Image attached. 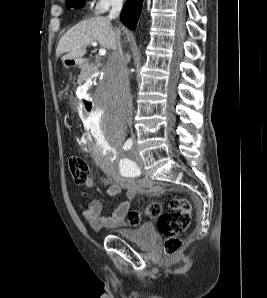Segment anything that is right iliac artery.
Instances as JSON below:
<instances>
[{
	"label": "right iliac artery",
	"mask_w": 267,
	"mask_h": 298,
	"mask_svg": "<svg viewBox=\"0 0 267 298\" xmlns=\"http://www.w3.org/2000/svg\"><path fill=\"white\" fill-rule=\"evenodd\" d=\"M132 145H133V141H132V139L129 138V139L124 143L123 149H124L125 151H128V150H130V149L132 148Z\"/></svg>",
	"instance_id": "obj_1"
}]
</instances>
